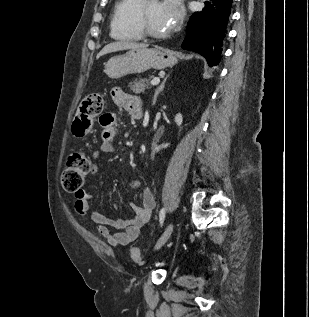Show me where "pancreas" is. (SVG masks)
Segmentation results:
<instances>
[{"label":"pancreas","instance_id":"1","mask_svg":"<svg viewBox=\"0 0 309 317\" xmlns=\"http://www.w3.org/2000/svg\"><path fill=\"white\" fill-rule=\"evenodd\" d=\"M151 78H153V76H151L149 79H145V78L135 79V81L129 83L128 87L134 93H137V94L143 93L147 88H149Z\"/></svg>","mask_w":309,"mask_h":317}]
</instances>
